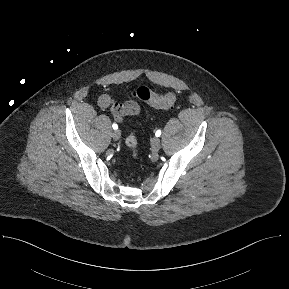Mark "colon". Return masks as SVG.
<instances>
[{
  "mask_svg": "<svg viewBox=\"0 0 289 289\" xmlns=\"http://www.w3.org/2000/svg\"><path fill=\"white\" fill-rule=\"evenodd\" d=\"M132 96L136 99L144 101L148 103L150 106L166 109L171 107L176 100V96L174 93L169 92L165 94H157L152 92L146 87H139L135 91H133ZM138 141L133 132H129L125 138V145L131 149L135 150L137 147Z\"/></svg>",
  "mask_w": 289,
  "mask_h": 289,
  "instance_id": "5ec220e1",
  "label": "colon"
}]
</instances>
